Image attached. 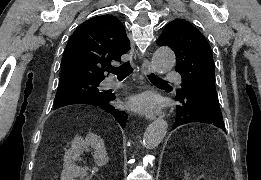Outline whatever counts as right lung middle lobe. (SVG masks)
Returning <instances> with one entry per match:
<instances>
[{"mask_svg":"<svg viewBox=\"0 0 261 180\" xmlns=\"http://www.w3.org/2000/svg\"><path fill=\"white\" fill-rule=\"evenodd\" d=\"M101 81L73 79L59 81V88L55 96L54 107L63 101L76 96L97 97L103 92L99 91L97 86ZM105 92V91H104Z\"/></svg>","mask_w":261,"mask_h":180,"instance_id":"dd1d6c3e","label":"right lung middle lobe"}]
</instances>
